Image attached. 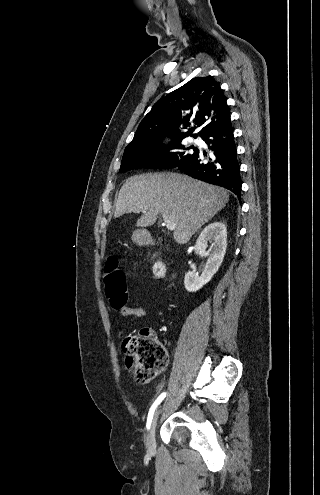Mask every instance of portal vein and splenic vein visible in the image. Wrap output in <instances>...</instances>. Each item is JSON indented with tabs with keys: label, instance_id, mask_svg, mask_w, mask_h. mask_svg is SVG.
<instances>
[{
	"label": "portal vein and splenic vein",
	"instance_id": "1",
	"mask_svg": "<svg viewBox=\"0 0 320 495\" xmlns=\"http://www.w3.org/2000/svg\"><path fill=\"white\" fill-rule=\"evenodd\" d=\"M162 218H163V221H164V225H166V227L169 229V230H174L175 229V225L172 223L171 219L169 217H167L166 215H162Z\"/></svg>",
	"mask_w": 320,
	"mask_h": 495
}]
</instances>
